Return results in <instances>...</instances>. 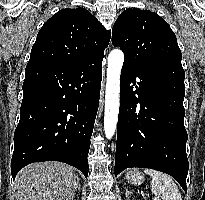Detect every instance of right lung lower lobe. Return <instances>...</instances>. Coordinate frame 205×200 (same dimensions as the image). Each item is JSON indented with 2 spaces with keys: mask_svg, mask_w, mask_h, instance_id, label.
Here are the masks:
<instances>
[{
  "mask_svg": "<svg viewBox=\"0 0 205 200\" xmlns=\"http://www.w3.org/2000/svg\"><path fill=\"white\" fill-rule=\"evenodd\" d=\"M103 57L71 65H28L14 133L13 179L24 166L61 161L88 176Z\"/></svg>",
  "mask_w": 205,
  "mask_h": 200,
  "instance_id": "98d812e1",
  "label": "right lung lower lobe"
}]
</instances>
